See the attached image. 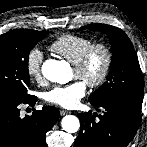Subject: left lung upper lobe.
Here are the masks:
<instances>
[{"instance_id": "5c2ea615", "label": "left lung upper lobe", "mask_w": 147, "mask_h": 147, "mask_svg": "<svg viewBox=\"0 0 147 147\" xmlns=\"http://www.w3.org/2000/svg\"><path fill=\"white\" fill-rule=\"evenodd\" d=\"M105 33L112 46L111 70L107 81L89 97L91 104L124 102L142 108L143 81L137 54L127 35L119 28L106 24L81 27Z\"/></svg>"}]
</instances>
